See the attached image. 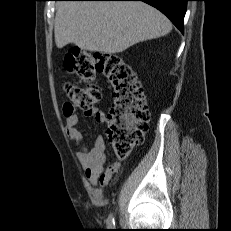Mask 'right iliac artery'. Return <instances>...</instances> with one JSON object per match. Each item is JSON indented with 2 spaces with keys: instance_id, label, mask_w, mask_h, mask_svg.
I'll return each instance as SVG.
<instances>
[{
  "instance_id": "82829eb1",
  "label": "right iliac artery",
  "mask_w": 231,
  "mask_h": 231,
  "mask_svg": "<svg viewBox=\"0 0 231 231\" xmlns=\"http://www.w3.org/2000/svg\"><path fill=\"white\" fill-rule=\"evenodd\" d=\"M107 226H108V228H110V229H113V228L115 227V220H114V217H113L112 214H110V215L108 216V219H107Z\"/></svg>"
}]
</instances>
